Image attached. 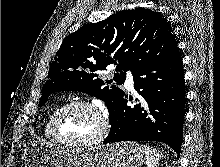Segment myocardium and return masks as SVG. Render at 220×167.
Wrapping results in <instances>:
<instances>
[{
	"label": "myocardium",
	"mask_w": 220,
	"mask_h": 167,
	"mask_svg": "<svg viewBox=\"0 0 220 167\" xmlns=\"http://www.w3.org/2000/svg\"><path fill=\"white\" fill-rule=\"evenodd\" d=\"M72 106H82L88 108L98 116L99 129L97 133L91 138L83 139V140H67L60 136L57 127L58 119L65 110H67ZM109 129H110V123L107 113L101 107L94 104L93 102L82 99L71 100L61 105L59 108L55 110L51 120V132L54 137V140L61 145L71 146V147H89V146L97 145L107 137L109 133Z\"/></svg>",
	"instance_id": "f54148a6"
}]
</instances>
